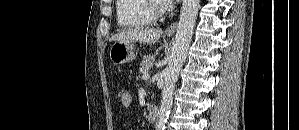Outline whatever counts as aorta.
<instances>
[{
  "instance_id": "aorta-1",
  "label": "aorta",
  "mask_w": 299,
  "mask_h": 130,
  "mask_svg": "<svg viewBox=\"0 0 299 130\" xmlns=\"http://www.w3.org/2000/svg\"><path fill=\"white\" fill-rule=\"evenodd\" d=\"M200 0H183L180 18L173 42L172 53L164 74V88L156 124L157 130H164L173 103V93L180 70L186 60L196 23Z\"/></svg>"
}]
</instances>
